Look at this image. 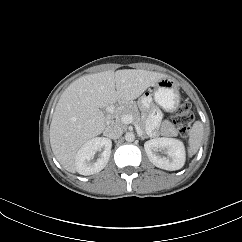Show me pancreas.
Wrapping results in <instances>:
<instances>
[{
  "label": "pancreas",
  "mask_w": 242,
  "mask_h": 242,
  "mask_svg": "<svg viewBox=\"0 0 242 242\" xmlns=\"http://www.w3.org/2000/svg\"><path fill=\"white\" fill-rule=\"evenodd\" d=\"M126 114L132 115L134 118V122L138 124L141 131L145 133V124L141 121L137 105L135 103H127L117 107L114 111V117L116 119V122L120 123L121 117ZM161 133L165 136H175L177 135V130L172 123H170L169 121H165L162 124Z\"/></svg>",
  "instance_id": "cf45deb5"
}]
</instances>
